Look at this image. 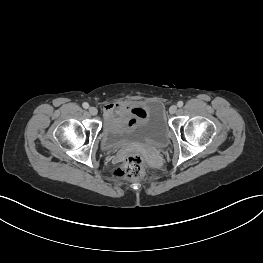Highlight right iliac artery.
I'll list each match as a JSON object with an SVG mask.
<instances>
[{
    "label": "right iliac artery",
    "mask_w": 263,
    "mask_h": 263,
    "mask_svg": "<svg viewBox=\"0 0 263 263\" xmlns=\"http://www.w3.org/2000/svg\"><path fill=\"white\" fill-rule=\"evenodd\" d=\"M82 106L83 108L87 109L89 107V104L87 102H84Z\"/></svg>",
    "instance_id": "obj_1"
}]
</instances>
